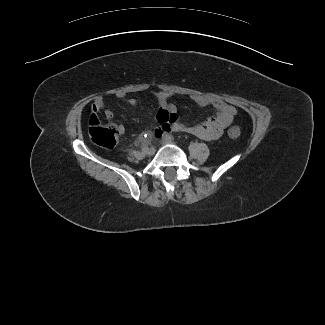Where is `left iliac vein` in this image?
Masks as SVG:
<instances>
[{
  "label": "left iliac vein",
  "mask_w": 325,
  "mask_h": 325,
  "mask_svg": "<svg viewBox=\"0 0 325 325\" xmlns=\"http://www.w3.org/2000/svg\"><path fill=\"white\" fill-rule=\"evenodd\" d=\"M162 143H163V144H174V143L172 142V140H169V139H166V138H163V139H162Z\"/></svg>",
  "instance_id": "4c4485c4"
}]
</instances>
